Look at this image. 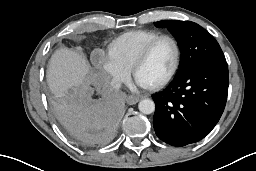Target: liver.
I'll return each mask as SVG.
<instances>
[{"mask_svg": "<svg viewBox=\"0 0 256 171\" xmlns=\"http://www.w3.org/2000/svg\"><path fill=\"white\" fill-rule=\"evenodd\" d=\"M89 65L85 57L72 49L61 48L54 52L47 69V82L56 97H63L71 87L88 88Z\"/></svg>", "mask_w": 256, "mask_h": 171, "instance_id": "obj_1", "label": "liver"}]
</instances>
